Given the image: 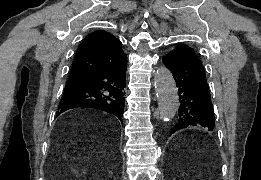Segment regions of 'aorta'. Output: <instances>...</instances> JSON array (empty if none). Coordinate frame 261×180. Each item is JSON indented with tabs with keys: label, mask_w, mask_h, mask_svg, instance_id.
<instances>
[{
	"label": "aorta",
	"mask_w": 261,
	"mask_h": 180,
	"mask_svg": "<svg viewBox=\"0 0 261 180\" xmlns=\"http://www.w3.org/2000/svg\"><path fill=\"white\" fill-rule=\"evenodd\" d=\"M154 85L160 118L169 121L175 117L179 108L178 89L170 70L165 67L157 70Z\"/></svg>",
	"instance_id": "1"
}]
</instances>
